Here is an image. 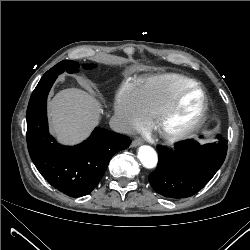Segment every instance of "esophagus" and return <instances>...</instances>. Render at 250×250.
<instances>
[{
	"mask_svg": "<svg viewBox=\"0 0 250 250\" xmlns=\"http://www.w3.org/2000/svg\"><path fill=\"white\" fill-rule=\"evenodd\" d=\"M142 140L140 138H135L132 143H131V147H137L140 146L142 144Z\"/></svg>",
	"mask_w": 250,
	"mask_h": 250,
	"instance_id": "esophagus-1",
	"label": "esophagus"
}]
</instances>
